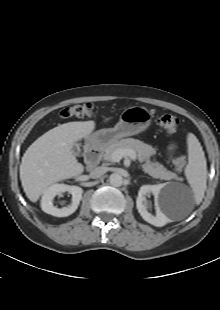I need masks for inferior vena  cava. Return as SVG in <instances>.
Segmentation results:
<instances>
[{
  "mask_svg": "<svg viewBox=\"0 0 220 310\" xmlns=\"http://www.w3.org/2000/svg\"><path fill=\"white\" fill-rule=\"evenodd\" d=\"M106 167H97L90 172V177L95 179L99 178L106 173Z\"/></svg>",
  "mask_w": 220,
  "mask_h": 310,
  "instance_id": "1",
  "label": "inferior vena cava"
}]
</instances>
